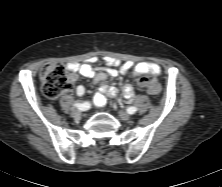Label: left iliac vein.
<instances>
[{"instance_id": "left-iliac-vein-1", "label": "left iliac vein", "mask_w": 222, "mask_h": 187, "mask_svg": "<svg viewBox=\"0 0 222 187\" xmlns=\"http://www.w3.org/2000/svg\"><path fill=\"white\" fill-rule=\"evenodd\" d=\"M120 119L124 120V121H129L131 119V116L124 111H119L118 112Z\"/></svg>"}]
</instances>
